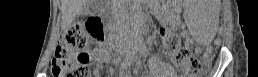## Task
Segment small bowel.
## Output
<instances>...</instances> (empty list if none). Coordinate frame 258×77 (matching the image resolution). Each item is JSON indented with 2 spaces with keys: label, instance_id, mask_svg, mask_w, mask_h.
Listing matches in <instances>:
<instances>
[{
  "label": "small bowel",
  "instance_id": "small-bowel-1",
  "mask_svg": "<svg viewBox=\"0 0 258 77\" xmlns=\"http://www.w3.org/2000/svg\"><path fill=\"white\" fill-rule=\"evenodd\" d=\"M90 57L93 61H96L98 63H103L110 59V54L108 53V51H106L103 48H96L90 52ZM166 73L171 74L173 72L167 71Z\"/></svg>",
  "mask_w": 258,
  "mask_h": 77
}]
</instances>
